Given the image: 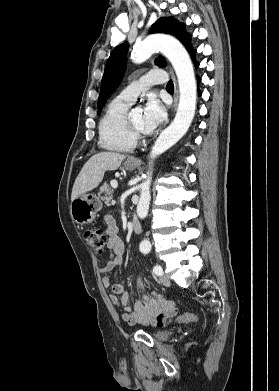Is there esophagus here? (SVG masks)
Here are the masks:
<instances>
[{
	"mask_svg": "<svg viewBox=\"0 0 279 391\" xmlns=\"http://www.w3.org/2000/svg\"><path fill=\"white\" fill-rule=\"evenodd\" d=\"M170 74L174 83L175 91H174V104H173V112L176 110L177 104H178V99H179V93H178V85H177V80L176 76L174 75V72L172 69H170ZM132 161L136 162L135 159H131Z\"/></svg>",
	"mask_w": 279,
	"mask_h": 391,
	"instance_id": "esophagus-1",
	"label": "esophagus"
}]
</instances>
